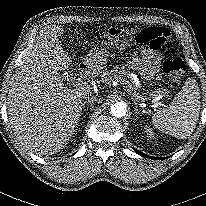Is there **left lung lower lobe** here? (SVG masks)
I'll return each instance as SVG.
<instances>
[{
    "label": "left lung lower lobe",
    "instance_id": "1",
    "mask_svg": "<svg viewBox=\"0 0 206 206\" xmlns=\"http://www.w3.org/2000/svg\"><path fill=\"white\" fill-rule=\"evenodd\" d=\"M134 150H135V152H136L137 154H139V155H141V156H143V157H145V158H150V159H154V160L164 159V158H156V157L148 156V155H145L144 153H142V152H140V151H138V150H136V149H134Z\"/></svg>",
    "mask_w": 206,
    "mask_h": 206
}]
</instances>
